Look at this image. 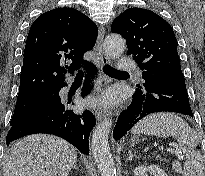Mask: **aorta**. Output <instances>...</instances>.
Wrapping results in <instances>:
<instances>
[{"mask_svg":"<svg viewBox=\"0 0 205 176\" xmlns=\"http://www.w3.org/2000/svg\"><path fill=\"white\" fill-rule=\"evenodd\" d=\"M105 53L111 58L120 57L125 49V40L118 34L108 35L103 43ZM112 121L104 120L92 134V153L101 176H116L115 163L109 146V133Z\"/></svg>","mask_w":205,"mask_h":176,"instance_id":"1","label":"aorta"}]
</instances>
